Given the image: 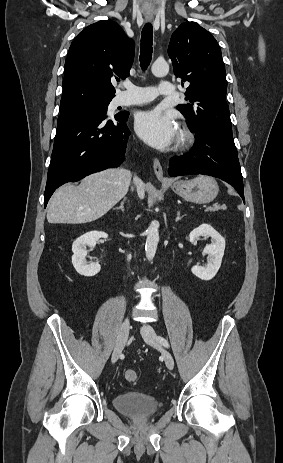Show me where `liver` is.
I'll list each match as a JSON object with an SVG mask.
<instances>
[{
  "label": "liver",
  "instance_id": "6515ba94",
  "mask_svg": "<svg viewBox=\"0 0 283 463\" xmlns=\"http://www.w3.org/2000/svg\"><path fill=\"white\" fill-rule=\"evenodd\" d=\"M131 172L111 168L85 177L79 185L66 184L53 194L47 208L51 224H84L106 214L128 192ZM138 195L145 196V185L137 183Z\"/></svg>",
  "mask_w": 283,
  "mask_h": 463
}]
</instances>
